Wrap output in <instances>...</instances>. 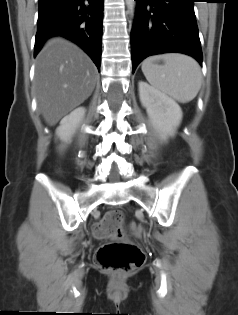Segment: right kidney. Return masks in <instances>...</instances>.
<instances>
[{"mask_svg":"<svg viewBox=\"0 0 238 315\" xmlns=\"http://www.w3.org/2000/svg\"><path fill=\"white\" fill-rule=\"evenodd\" d=\"M85 115V108L78 107L75 110H73L69 115L65 116L61 122L60 126L56 129V135L57 137L67 142L71 135L75 132L76 128L82 121L83 117Z\"/></svg>","mask_w":238,"mask_h":315,"instance_id":"ca27d5eb","label":"right kidney"}]
</instances>
